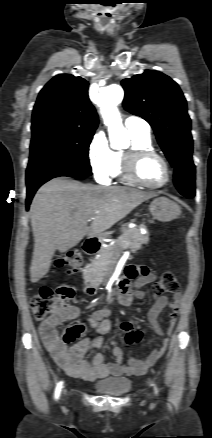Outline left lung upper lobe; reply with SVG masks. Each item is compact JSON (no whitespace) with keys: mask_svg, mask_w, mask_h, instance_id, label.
Returning <instances> with one entry per match:
<instances>
[{"mask_svg":"<svg viewBox=\"0 0 212 438\" xmlns=\"http://www.w3.org/2000/svg\"><path fill=\"white\" fill-rule=\"evenodd\" d=\"M122 86L124 108L152 126L171 165L192 156L191 120L178 84L161 72L147 70L124 79Z\"/></svg>","mask_w":212,"mask_h":438,"instance_id":"obj_1","label":"left lung upper lobe"}]
</instances>
